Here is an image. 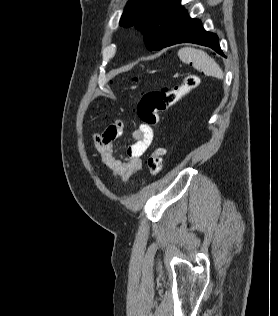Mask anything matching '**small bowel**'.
<instances>
[{
    "instance_id": "small-bowel-1",
    "label": "small bowel",
    "mask_w": 278,
    "mask_h": 316,
    "mask_svg": "<svg viewBox=\"0 0 278 316\" xmlns=\"http://www.w3.org/2000/svg\"><path fill=\"white\" fill-rule=\"evenodd\" d=\"M122 133L123 122L116 119L106 127L103 133L94 135V145L111 174L122 181H127L141 169L142 155L151 145L154 132L152 127L141 123L132 133L133 143L126 147L123 156H117L115 141Z\"/></svg>"
}]
</instances>
